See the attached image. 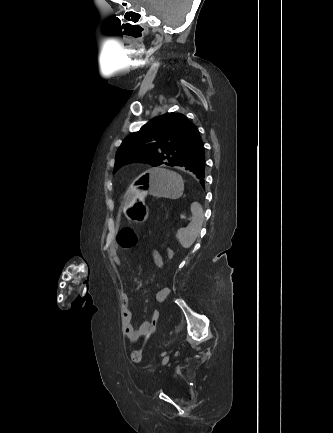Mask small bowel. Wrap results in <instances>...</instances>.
<instances>
[{
    "instance_id": "obj_1",
    "label": "small bowel",
    "mask_w": 333,
    "mask_h": 433,
    "mask_svg": "<svg viewBox=\"0 0 333 433\" xmlns=\"http://www.w3.org/2000/svg\"><path fill=\"white\" fill-rule=\"evenodd\" d=\"M109 258L116 266H120L121 261L115 245H112L109 250ZM151 258L158 268H164V260L158 251L153 250ZM169 293L170 289L168 287H163L158 290L155 296L156 302L163 303L167 299ZM121 326L124 337L130 343H136L140 338L150 335L153 331L150 329L149 321L143 322L138 327L133 326L132 313L130 310V297L126 293L121 295Z\"/></svg>"
}]
</instances>
